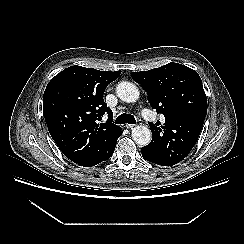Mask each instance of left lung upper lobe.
<instances>
[{"label": "left lung upper lobe", "mask_w": 244, "mask_h": 244, "mask_svg": "<svg viewBox=\"0 0 244 244\" xmlns=\"http://www.w3.org/2000/svg\"><path fill=\"white\" fill-rule=\"evenodd\" d=\"M132 78L147 92L151 107L165 123H150L152 141L148 148L156 164L172 166L194 147L207 114V98L200 76L193 69L169 63L148 71L133 72Z\"/></svg>", "instance_id": "5c2ea615"}]
</instances>
